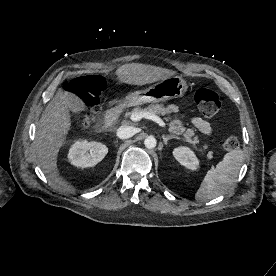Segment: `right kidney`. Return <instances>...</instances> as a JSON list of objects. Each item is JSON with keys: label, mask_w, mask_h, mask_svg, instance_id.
Returning <instances> with one entry per match:
<instances>
[{"label": "right kidney", "mask_w": 276, "mask_h": 276, "mask_svg": "<svg viewBox=\"0 0 276 276\" xmlns=\"http://www.w3.org/2000/svg\"><path fill=\"white\" fill-rule=\"evenodd\" d=\"M107 153L108 148L100 142L78 140L69 149L68 159L76 167L87 168L95 166Z\"/></svg>", "instance_id": "right-kidney-1"}]
</instances>
